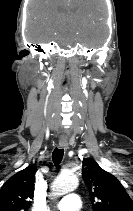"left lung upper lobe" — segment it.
<instances>
[{"label": "left lung upper lobe", "mask_w": 133, "mask_h": 211, "mask_svg": "<svg viewBox=\"0 0 133 211\" xmlns=\"http://www.w3.org/2000/svg\"><path fill=\"white\" fill-rule=\"evenodd\" d=\"M82 178L90 194L93 211H133V201L119 180L95 160H83Z\"/></svg>", "instance_id": "1"}]
</instances>
